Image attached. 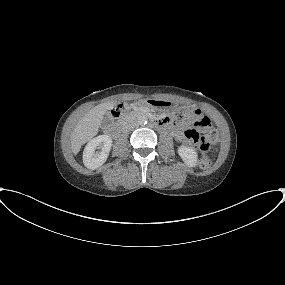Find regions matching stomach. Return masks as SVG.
Wrapping results in <instances>:
<instances>
[{
  "mask_svg": "<svg viewBox=\"0 0 285 285\" xmlns=\"http://www.w3.org/2000/svg\"><path fill=\"white\" fill-rule=\"evenodd\" d=\"M140 104L148 106L153 111L159 112H169L178 107V105L174 102L154 98L144 99L140 102Z\"/></svg>",
  "mask_w": 285,
  "mask_h": 285,
  "instance_id": "obj_1",
  "label": "stomach"
}]
</instances>
